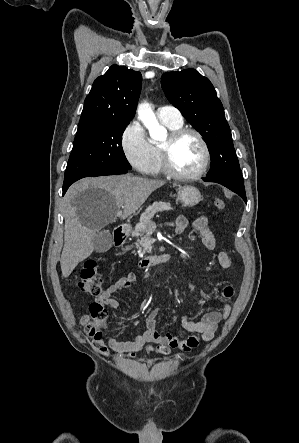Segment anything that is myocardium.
<instances>
[{
  "label": "myocardium",
  "instance_id": "obj_1",
  "mask_svg": "<svg viewBox=\"0 0 299 443\" xmlns=\"http://www.w3.org/2000/svg\"><path fill=\"white\" fill-rule=\"evenodd\" d=\"M192 134L194 135L197 140L199 141L202 150H203V161L200 166V168L191 174H183L178 172L171 161L172 156V150L175 146V144L185 135ZM160 155H161V164L163 171L168 174L170 177L177 179V180H195L198 178H201L207 171L208 166L210 164L211 154L209 146L202 136V134L194 129V128H188V127H181L176 130H172L170 134L168 135L167 139L160 144Z\"/></svg>",
  "mask_w": 299,
  "mask_h": 443
}]
</instances>
